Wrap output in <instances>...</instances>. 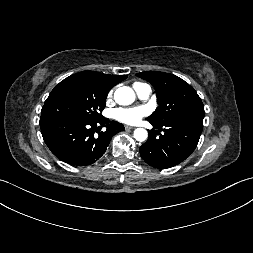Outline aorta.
I'll use <instances>...</instances> for the list:
<instances>
[{
	"label": "aorta",
	"instance_id": "obj_1",
	"mask_svg": "<svg viewBox=\"0 0 253 253\" xmlns=\"http://www.w3.org/2000/svg\"><path fill=\"white\" fill-rule=\"evenodd\" d=\"M114 99L119 105H129L135 100V93L130 87H119L114 93ZM148 137V132L144 128H137L134 131V138L137 141H145Z\"/></svg>",
	"mask_w": 253,
	"mask_h": 253
}]
</instances>
